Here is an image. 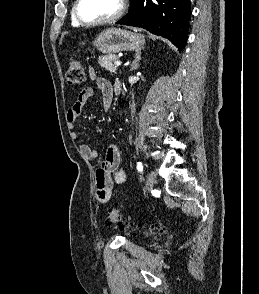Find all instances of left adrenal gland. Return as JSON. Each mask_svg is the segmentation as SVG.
Returning <instances> with one entry per match:
<instances>
[{"mask_svg":"<svg viewBox=\"0 0 259 294\" xmlns=\"http://www.w3.org/2000/svg\"><path fill=\"white\" fill-rule=\"evenodd\" d=\"M140 60H141V51H138L134 57L130 71H134L138 69Z\"/></svg>","mask_w":259,"mask_h":294,"instance_id":"a2214340","label":"left adrenal gland"}]
</instances>
